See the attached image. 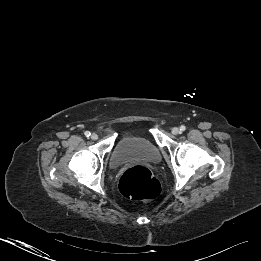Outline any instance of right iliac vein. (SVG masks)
<instances>
[{
  "label": "right iliac vein",
  "mask_w": 261,
  "mask_h": 261,
  "mask_svg": "<svg viewBox=\"0 0 261 261\" xmlns=\"http://www.w3.org/2000/svg\"><path fill=\"white\" fill-rule=\"evenodd\" d=\"M91 139L92 140H97L98 139V135L96 133H92L91 134Z\"/></svg>",
  "instance_id": "1"
}]
</instances>
